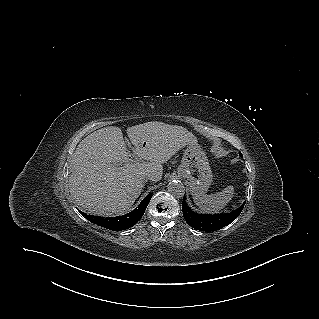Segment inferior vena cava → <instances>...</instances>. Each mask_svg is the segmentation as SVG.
Segmentation results:
<instances>
[{
    "mask_svg": "<svg viewBox=\"0 0 319 319\" xmlns=\"http://www.w3.org/2000/svg\"><path fill=\"white\" fill-rule=\"evenodd\" d=\"M153 179V175L152 174H145L142 176V180L145 182L147 180H152Z\"/></svg>",
    "mask_w": 319,
    "mask_h": 319,
    "instance_id": "obj_1",
    "label": "inferior vena cava"
}]
</instances>
